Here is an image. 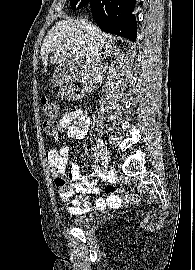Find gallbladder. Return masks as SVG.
<instances>
[{
    "instance_id": "1",
    "label": "gallbladder",
    "mask_w": 195,
    "mask_h": 270,
    "mask_svg": "<svg viewBox=\"0 0 195 270\" xmlns=\"http://www.w3.org/2000/svg\"><path fill=\"white\" fill-rule=\"evenodd\" d=\"M73 73L72 64L71 63H63L59 65L52 76V82L58 83L64 80L67 77H70Z\"/></svg>"
}]
</instances>
